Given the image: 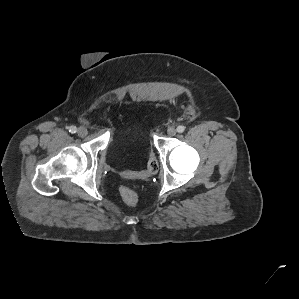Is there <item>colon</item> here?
I'll return each mask as SVG.
<instances>
[{"label": "colon", "instance_id": "colon-1", "mask_svg": "<svg viewBox=\"0 0 299 299\" xmlns=\"http://www.w3.org/2000/svg\"><path fill=\"white\" fill-rule=\"evenodd\" d=\"M157 170H158V161L155 156H151L148 161L147 169L145 171L128 172L126 176L133 179H143L150 175L155 174ZM120 193L123 201L127 205L134 206L137 203L138 196L133 189L129 187H122Z\"/></svg>", "mask_w": 299, "mask_h": 299}]
</instances>
